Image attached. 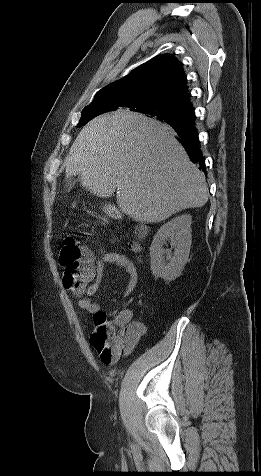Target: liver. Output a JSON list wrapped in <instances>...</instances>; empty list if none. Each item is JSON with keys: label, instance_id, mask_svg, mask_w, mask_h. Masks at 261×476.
Listing matches in <instances>:
<instances>
[{"label": "liver", "instance_id": "6515ba94", "mask_svg": "<svg viewBox=\"0 0 261 476\" xmlns=\"http://www.w3.org/2000/svg\"><path fill=\"white\" fill-rule=\"evenodd\" d=\"M65 165L66 186L72 187L77 174L82 187L97 196L109 197L117 190L120 210L140 223L202 207L209 197L204 173L172 129L130 111L91 120L71 146Z\"/></svg>", "mask_w": 261, "mask_h": 476}]
</instances>
